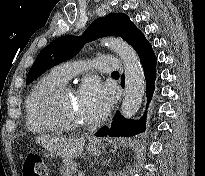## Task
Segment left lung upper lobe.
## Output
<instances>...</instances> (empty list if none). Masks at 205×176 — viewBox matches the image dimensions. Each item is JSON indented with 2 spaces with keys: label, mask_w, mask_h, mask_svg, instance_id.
Returning <instances> with one entry per match:
<instances>
[{
  "label": "left lung upper lobe",
  "mask_w": 205,
  "mask_h": 176,
  "mask_svg": "<svg viewBox=\"0 0 205 176\" xmlns=\"http://www.w3.org/2000/svg\"><path fill=\"white\" fill-rule=\"evenodd\" d=\"M135 29L137 27L126 14L110 13L96 19L82 37L67 35L55 39L38 54L28 72L26 84L48 69L75 56L85 42L105 36H119L128 42Z\"/></svg>",
  "instance_id": "left-lung-upper-lobe-1"
}]
</instances>
